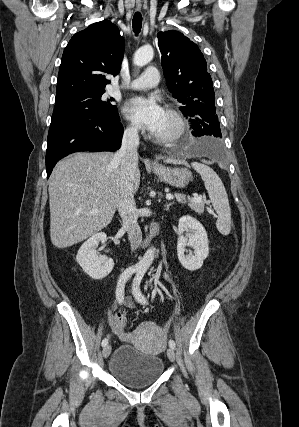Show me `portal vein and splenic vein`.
Segmentation results:
<instances>
[{
	"instance_id": "obj_1",
	"label": "portal vein and splenic vein",
	"mask_w": 299,
	"mask_h": 427,
	"mask_svg": "<svg viewBox=\"0 0 299 427\" xmlns=\"http://www.w3.org/2000/svg\"><path fill=\"white\" fill-rule=\"evenodd\" d=\"M166 198H167L168 200H171V199H173L174 197H173V195H172V194H167V195H166ZM192 200H193V201H201V200H202V197H195V198H193Z\"/></svg>"
}]
</instances>
